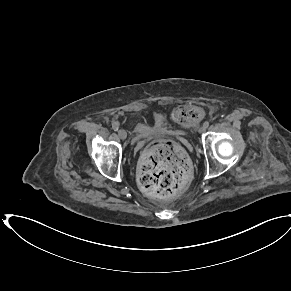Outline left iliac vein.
I'll use <instances>...</instances> for the list:
<instances>
[{"instance_id":"1","label":"left iliac vein","mask_w":291,"mask_h":291,"mask_svg":"<svg viewBox=\"0 0 291 291\" xmlns=\"http://www.w3.org/2000/svg\"><path fill=\"white\" fill-rule=\"evenodd\" d=\"M206 129H207V127H205L204 125H202V126L199 127L198 132L199 133H203V132L206 131Z\"/></svg>"}]
</instances>
